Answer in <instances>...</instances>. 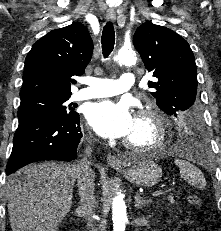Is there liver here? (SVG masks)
Returning a JSON list of instances; mask_svg holds the SVG:
<instances>
[{
	"label": "liver",
	"instance_id": "6515ba94",
	"mask_svg": "<svg viewBox=\"0 0 221 231\" xmlns=\"http://www.w3.org/2000/svg\"><path fill=\"white\" fill-rule=\"evenodd\" d=\"M76 165L30 164L5 183L12 231H57L72 206Z\"/></svg>",
	"mask_w": 221,
	"mask_h": 231
}]
</instances>
